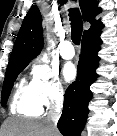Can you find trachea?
<instances>
[{
	"instance_id": "obj_1",
	"label": "trachea",
	"mask_w": 117,
	"mask_h": 136,
	"mask_svg": "<svg viewBox=\"0 0 117 136\" xmlns=\"http://www.w3.org/2000/svg\"><path fill=\"white\" fill-rule=\"evenodd\" d=\"M69 16L71 21V38L74 44L79 45L82 36V18L77 9H69Z\"/></svg>"
}]
</instances>
